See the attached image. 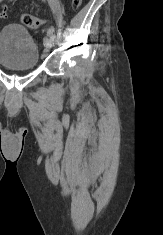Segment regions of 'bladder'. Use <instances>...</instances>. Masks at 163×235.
I'll return each mask as SVG.
<instances>
[{
	"instance_id": "obj_1",
	"label": "bladder",
	"mask_w": 163,
	"mask_h": 235,
	"mask_svg": "<svg viewBox=\"0 0 163 235\" xmlns=\"http://www.w3.org/2000/svg\"><path fill=\"white\" fill-rule=\"evenodd\" d=\"M38 62V45L24 26L9 24L0 30V65L10 69H33Z\"/></svg>"
}]
</instances>
